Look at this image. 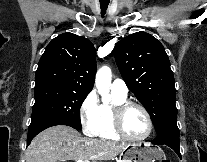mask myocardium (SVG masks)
<instances>
[{
  "mask_svg": "<svg viewBox=\"0 0 207 162\" xmlns=\"http://www.w3.org/2000/svg\"><path fill=\"white\" fill-rule=\"evenodd\" d=\"M139 108L145 115L147 120V131L140 137H132L128 135L123 127V119L126 112L130 108ZM113 130L117 136L130 141H143L147 139L153 131V121L147 108L141 103L126 100L122 103L114 104L111 109Z\"/></svg>",
  "mask_w": 207,
  "mask_h": 162,
  "instance_id": "f54148a6",
  "label": "myocardium"
}]
</instances>
